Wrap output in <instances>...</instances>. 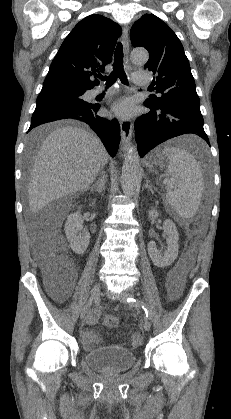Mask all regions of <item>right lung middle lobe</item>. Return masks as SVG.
<instances>
[{
    "label": "right lung middle lobe",
    "instance_id": "right-lung-middle-lobe-1",
    "mask_svg": "<svg viewBox=\"0 0 231 419\" xmlns=\"http://www.w3.org/2000/svg\"><path fill=\"white\" fill-rule=\"evenodd\" d=\"M86 90L76 89L63 85H51L43 87L37 97V103L51 102V101H68L86 103L81 99V96Z\"/></svg>",
    "mask_w": 231,
    "mask_h": 419
}]
</instances>
